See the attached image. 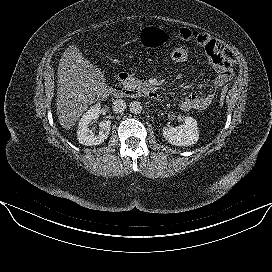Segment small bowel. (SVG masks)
Here are the masks:
<instances>
[{"label": "small bowel", "mask_w": 272, "mask_h": 272, "mask_svg": "<svg viewBox=\"0 0 272 272\" xmlns=\"http://www.w3.org/2000/svg\"><path fill=\"white\" fill-rule=\"evenodd\" d=\"M178 37L184 41H193L204 48L206 55L217 75L213 88L206 94L192 92L184 96L179 106L184 111L205 110L213 102L216 90L230 81L233 75L234 56L220 41L210 35L187 27L178 30Z\"/></svg>", "instance_id": "1"}]
</instances>
